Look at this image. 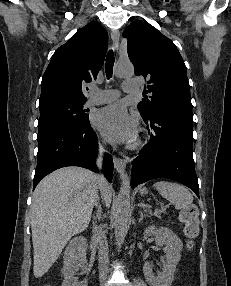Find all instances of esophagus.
Instances as JSON below:
<instances>
[{"label":"esophagus","mask_w":231,"mask_h":286,"mask_svg":"<svg viewBox=\"0 0 231 286\" xmlns=\"http://www.w3.org/2000/svg\"><path fill=\"white\" fill-rule=\"evenodd\" d=\"M119 39H120L119 31L116 29L112 30L111 31V40H112L113 49L115 52L118 51ZM113 163H114V167H115L116 171L120 175V178H124L125 169H126V161L124 159L113 156Z\"/></svg>","instance_id":"esophagus-1"}]
</instances>
